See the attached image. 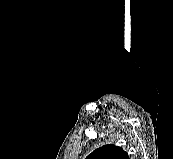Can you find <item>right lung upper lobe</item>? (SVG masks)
<instances>
[{
    "mask_svg": "<svg viewBox=\"0 0 173 159\" xmlns=\"http://www.w3.org/2000/svg\"><path fill=\"white\" fill-rule=\"evenodd\" d=\"M86 159H129V157L122 148L107 144L94 150Z\"/></svg>",
    "mask_w": 173,
    "mask_h": 159,
    "instance_id": "obj_1",
    "label": "right lung upper lobe"
}]
</instances>
